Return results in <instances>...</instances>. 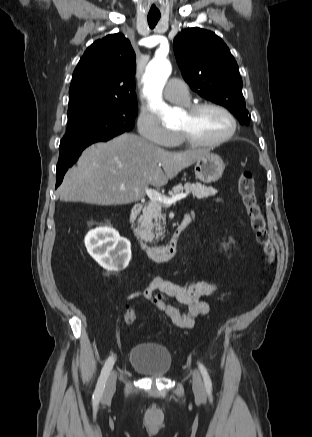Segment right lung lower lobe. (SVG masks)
Here are the masks:
<instances>
[{
  "mask_svg": "<svg viewBox=\"0 0 312 437\" xmlns=\"http://www.w3.org/2000/svg\"><path fill=\"white\" fill-rule=\"evenodd\" d=\"M114 137V136H113ZM112 137H107L100 140L95 141H89L87 143L79 144L75 146L74 148H71L67 151L60 152L59 160L56 168V188L61 184L65 172L68 170L69 167H71L78 157L81 155L82 151L89 145L95 142L99 141H107L111 139Z\"/></svg>",
  "mask_w": 312,
  "mask_h": 437,
  "instance_id": "obj_1",
  "label": "right lung lower lobe"
}]
</instances>
